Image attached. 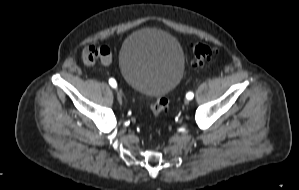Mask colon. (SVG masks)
I'll return each mask as SVG.
<instances>
[{
    "instance_id": "1",
    "label": "colon",
    "mask_w": 299,
    "mask_h": 190,
    "mask_svg": "<svg viewBox=\"0 0 299 190\" xmlns=\"http://www.w3.org/2000/svg\"><path fill=\"white\" fill-rule=\"evenodd\" d=\"M217 59V51L214 47L207 44H197L193 49L192 66L199 67L205 63ZM91 62V58H87ZM169 109V100L166 97H158L151 104V113L153 117H158Z\"/></svg>"
}]
</instances>
